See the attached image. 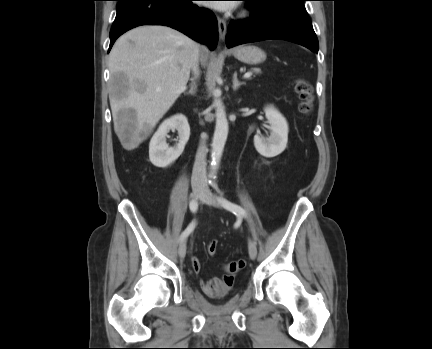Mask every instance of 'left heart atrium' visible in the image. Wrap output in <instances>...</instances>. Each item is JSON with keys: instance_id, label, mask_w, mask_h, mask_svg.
I'll return each mask as SVG.
<instances>
[{"instance_id": "left-heart-atrium-1", "label": "left heart atrium", "mask_w": 432, "mask_h": 349, "mask_svg": "<svg viewBox=\"0 0 432 349\" xmlns=\"http://www.w3.org/2000/svg\"><path fill=\"white\" fill-rule=\"evenodd\" d=\"M212 6L218 10L226 11V10H229L230 8H232L233 4L230 3L229 1L228 2H217L215 4H212Z\"/></svg>"}]
</instances>
